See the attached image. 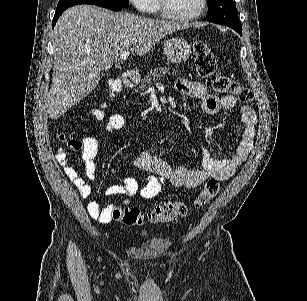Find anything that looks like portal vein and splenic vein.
I'll return each mask as SVG.
<instances>
[{"label":"portal vein and splenic vein","mask_w":307,"mask_h":301,"mask_svg":"<svg viewBox=\"0 0 307 301\" xmlns=\"http://www.w3.org/2000/svg\"><path fill=\"white\" fill-rule=\"evenodd\" d=\"M129 54H130L129 50H124V52H121V54H120L121 60H126V58H128V56H129Z\"/></svg>","instance_id":"portal-vein-and-splenic-vein-1"}]
</instances>
